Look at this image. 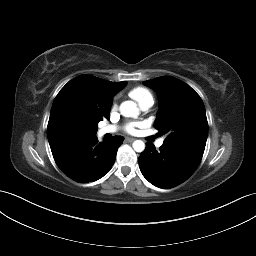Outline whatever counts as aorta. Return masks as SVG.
I'll use <instances>...</instances> for the list:
<instances>
[{
  "instance_id": "aorta-1",
  "label": "aorta",
  "mask_w": 256,
  "mask_h": 256,
  "mask_svg": "<svg viewBox=\"0 0 256 256\" xmlns=\"http://www.w3.org/2000/svg\"><path fill=\"white\" fill-rule=\"evenodd\" d=\"M120 113L124 117H134L139 115L137 104L133 101H124L120 105ZM136 152H142L145 149V143L142 140H135L132 144Z\"/></svg>"
}]
</instances>
